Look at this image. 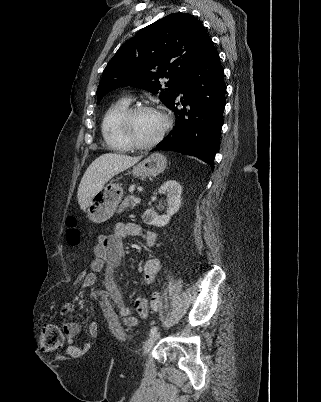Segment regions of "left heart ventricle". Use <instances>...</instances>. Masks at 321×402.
<instances>
[{
    "label": "left heart ventricle",
    "mask_w": 321,
    "mask_h": 402,
    "mask_svg": "<svg viewBox=\"0 0 321 402\" xmlns=\"http://www.w3.org/2000/svg\"><path fill=\"white\" fill-rule=\"evenodd\" d=\"M164 125L163 117L154 111H143L132 120V134L140 143L153 140Z\"/></svg>",
    "instance_id": "1"
}]
</instances>
